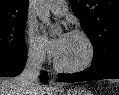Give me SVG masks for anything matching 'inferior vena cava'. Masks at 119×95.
Instances as JSON below:
<instances>
[{
  "instance_id": "602c4592",
  "label": "inferior vena cava",
  "mask_w": 119,
  "mask_h": 95,
  "mask_svg": "<svg viewBox=\"0 0 119 95\" xmlns=\"http://www.w3.org/2000/svg\"><path fill=\"white\" fill-rule=\"evenodd\" d=\"M44 59L45 55L40 52H30L28 54L25 68L18 77L19 84L27 92L26 94H34Z\"/></svg>"
}]
</instances>
